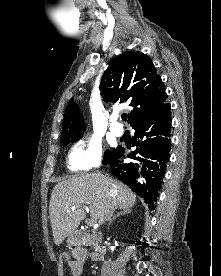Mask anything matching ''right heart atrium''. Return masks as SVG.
<instances>
[{"mask_svg": "<svg viewBox=\"0 0 221 276\" xmlns=\"http://www.w3.org/2000/svg\"><path fill=\"white\" fill-rule=\"evenodd\" d=\"M102 158L101 144L96 139L80 142L71 149L67 161L69 167L76 171H86L97 167Z\"/></svg>", "mask_w": 221, "mask_h": 276, "instance_id": "right-heart-atrium-1", "label": "right heart atrium"}]
</instances>
